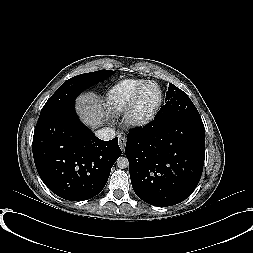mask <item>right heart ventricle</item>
I'll return each instance as SVG.
<instances>
[{
	"label": "right heart ventricle",
	"mask_w": 253,
	"mask_h": 253,
	"mask_svg": "<svg viewBox=\"0 0 253 253\" xmlns=\"http://www.w3.org/2000/svg\"><path fill=\"white\" fill-rule=\"evenodd\" d=\"M146 82L144 79L128 78L117 82L109 90L107 106L113 112H123L131 104L137 90Z\"/></svg>",
	"instance_id": "1"
}]
</instances>
